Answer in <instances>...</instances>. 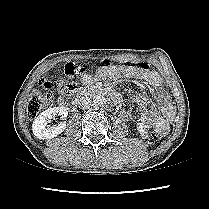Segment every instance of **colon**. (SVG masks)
<instances>
[{
    "mask_svg": "<svg viewBox=\"0 0 209 209\" xmlns=\"http://www.w3.org/2000/svg\"><path fill=\"white\" fill-rule=\"evenodd\" d=\"M84 71V68L77 63H67L64 69L65 77L60 79L56 87L60 92H70L77 87V78ZM53 84L47 79H41L38 82V87L31 93L27 106V117L35 118L39 112L47 106L53 98ZM166 134L165 129H157L155 139H158Z\"/></svg>",
    "mask_w": 209,
    "mask_h": 209,
    "instance_id": "obj_1",
    "label": "colon"
}]
</instances>
